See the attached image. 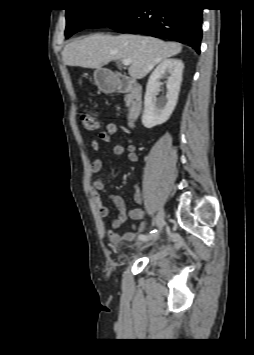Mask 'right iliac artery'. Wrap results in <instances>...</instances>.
Returning <instances> with one entry per match:
<instances>
[{
    "mask_svg": "<svg viewBox=\"0 0 254 355\" xmlns=\"http://www.w3.org/2000/svg\"><path fill=\"white\" fill-rule=\"evenodd\" d=\"M156 232H157V230L154 229V230H152L150 233H151V234H154V233H156ZM150 236H151V235L140 234L138 238H139V240H141V241H147Z\"/></svg>",
    "mask_w": 254,
    "mask_h": 355,
    "instance_id": "right-iliac-artery-1",
    "label": "right iliac artery"
}]
</instances>
